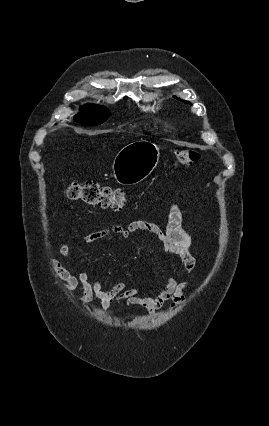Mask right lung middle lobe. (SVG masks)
I'll return each mask as SVG.
<instances>
[{"instance_id":"1","label":"right lung middle lobe","mask_w":269,"mask_h":426,"mask_svg":"<svg viewBox=\"0 0 269 426\" xmlns=\"http://www.w3.org/2000/svg\"><path fill=\"white\" fill-rule=\"evenodd\" d=\"M110 113L105 107L87 105L82 112L74 117V120L82 125L95 126L103 123Z\"/></svg>"}]
</instances>
